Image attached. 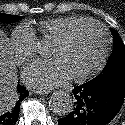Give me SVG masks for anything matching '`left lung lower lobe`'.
Segmentation results:
<instances>
[{"label": "left lung lower lobe", "mask_w": 125, "mask_h": 125, "mask_svg": "<svg viewBox=\"0 0 125 125\" xmlns=\"http://www.w3.org/2000/svg\"><path fill=\"white\" fill-rule=\"evenodd\" d=\"M73 111L58 120L59 125H106L119 112L125 94V73L73 89Z\"/></svg>", "instance_id": "0a47b994"}]
</instances>
